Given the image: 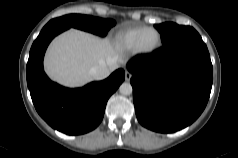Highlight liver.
Segmentation results:
<instances>
[{"label":"liver","mask_w":238,"mask_h":158,"mask_svg":"<svg viewBox=\"0 0 238 158\" xmlns=\"http://www.w3.org/2000/svg\"><path fill=\"white\" fill-rule=\"evenodd\" d=\"M120 62L118 48L109 39L72 29L51 43L45 68L53 80L68 86H80L93 78L89 74L92 67L106 65L111 72Z\"/></svg>","instance_id":"6515ba94"}]
</instances>
